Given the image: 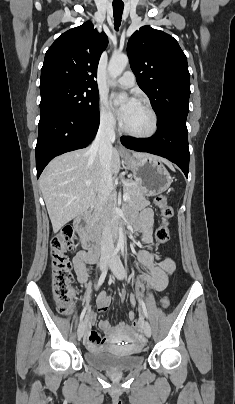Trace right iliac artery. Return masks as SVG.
<instances>
[{
  "label": "right iliac artery",
  "mask_w": 235,
  "mask_h": 404,
  "mask_svg": "<svg viewBox=\"0 0 235 404\" xmlns=\"http://www.w3.org/2000/svg\"><path fill=\"white\" fill-rule=\"evenodd\" d=\"M119 249H120L119 247H116V248L114 249V252H113V254H112V258H114V257L117 255V253L119 252ZM107 272H108V266L103 270V272H102V274H101V276H100V278H99L98 285H97L96 289H98V287H99L100 285H102V283L104 282L105 277H106V275H107ZM86 309H87V306L83 309V311H82V313H81V315H80V322L83 320V318H84V316H85Z\"/></svg>",
  "instance_id": "82829eb1"
}]
</instances>
